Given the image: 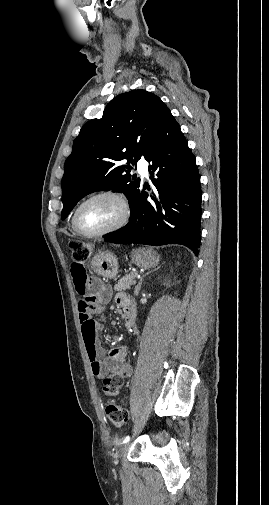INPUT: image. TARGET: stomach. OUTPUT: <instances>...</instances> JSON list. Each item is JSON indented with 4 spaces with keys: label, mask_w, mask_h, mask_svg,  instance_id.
I'll list each match as a JSON object with an SVG mask.
<instances>
[{
    "label": "stomach",
    "mask_w": 269,
    "mask_h": 505,
    "mask_svg": "<svg viewBox=\"0 0 269 505\" xmlns=\"http://www.w3.org/2000/svg\"><path fill=\"white\" fill-rule=\"evenodd\" d=\"M131 261L141 268H151L158 264L159 255L149 247H139L132 251ZM92 270L104 279H114L118 274V260L110 252H101L93 257L91 262Z\"/></svg>",
    "instance_id": "obj_1"
}]
</instances>
